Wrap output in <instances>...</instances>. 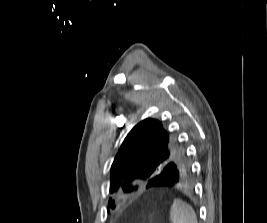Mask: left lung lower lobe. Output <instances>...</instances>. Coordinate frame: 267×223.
Instances as JSON below:
<instances>
[{
  "label": "left lung lower lobe",
  "instance_id": "left-lung-lower-lobe-1",
  "mask_svg": "<svg viewBox=\"0 0 267 223\" xmlns=\"http://www.w3.org/2000/svg\"><path fill=\"white\" fill-rule=\"evenodd\" d=\"M190 176H195V171H163L153 173V180L143 182L141 190H148V195H174L177 190L192 189Z\"/></svg>",
  "mask_w": 267,
  "mask_h": 223
}]
</instances>
